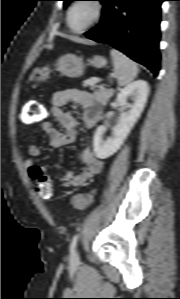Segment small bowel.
Listing matches in <instances>:
<instances>
[{
  "mask_svg": "<svg viewBox=\"0 0 180 299\" xmlns=\"http://www.w3.org/2000/svg\"><path fill=\"white\" fill-rule=\"evenodd\" d=\"M70 101L76 102L84 108L82 122L87 129L94 128L100 120L102 104L93 94L79 89H70L55 93L51 99L50 108L55 121L61 125L63 130L56 128L52 121L46 120L42 122V129L48 134L51 147L66 146L73 143L76 139V127L78 123L70 113L64 110V106ZM28 154L32 158L37 157L40 154L38 146L30 144ZM80 156L85 165L80 172L69 171L64 174L50 173L46 168L35 165L32 160H27L25 167L29 179L36 183L55 181L64 187H80L87 183L93 176L100 173L103 168L102 160L96 157L91 147L83 148Z\"/></svg>",
  "mask_w": 180,
  "mask_h": 299,
  "instance_id": "1",
  "label": "small bowel"
}]
</instances>
